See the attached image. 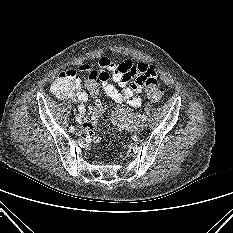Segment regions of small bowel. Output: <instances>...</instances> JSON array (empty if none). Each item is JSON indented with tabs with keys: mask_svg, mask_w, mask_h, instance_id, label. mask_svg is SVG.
<instances>
[{
	"mask_svg": "<svg viewBox=\"0 0 233 233\" xmlns=\"http://www.w3.org/2000/svg\"><path fill=\"white\" fill-rule=\"evenodd\" d=\"M98 67V72L104 75L102 88L104 92L117 103H127L133 108L141 105L140 93L148 77H156L157 69L144 62L134 63L131 60H124L115 63L108 57H101L96 63H83L78 67L69 68L66 73L72 80V90L64 98L78 103L77 122L82 123L85 114V103L88 100L87 93L81 88L79 73L90 74ZM112 80L120 87L118 89L108 82Z\"/></svg>",
	"mask_w": 233,
	"mask_h": 233,
	"instance_id": "obj_1",
	"label": "small bowel"
}]
</instances>
